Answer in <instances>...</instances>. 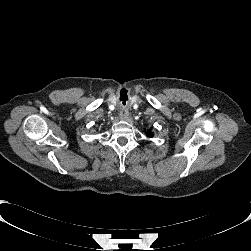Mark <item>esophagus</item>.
Returning a JSON list of instances; mask_svg holds the SVG:
<instances>
[{
  "instance_id": "obj_1",
  "label": "esophagus",
  "mask_w": 251,
  "mask_h": 251,
  "mask_svg": "<svg viewBox=\"0 0 251 251\" xmlns=\"http://www.w3.org/2000/svg\"><path fill=\"white\" fill-rule=\"evenodd\" d=\"M119 116H120V119L125 120V119L128 118L129 113H128L127 110L122 109V110L120 111Z\"/></svg>"
}]
</instances>
